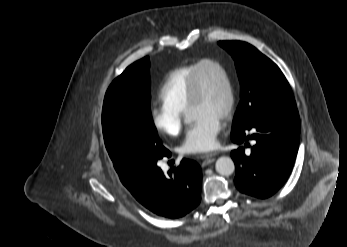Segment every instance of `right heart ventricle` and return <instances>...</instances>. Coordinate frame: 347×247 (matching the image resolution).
<instances>
[{
  "instance_id": "1",
  "label": "right heart ventricle",
  "mask_w": 347,
  "mask_h": 247,
  "mask_svg": "<svg viewBox=\"0 0 347 247\" xmlns=\"http://www.w3.org/2000/svg\"><path fill=\"white\" fill-rule=\"evenodd\" d=\"M197 63L175 68L165 77L159 91L162 104L180 112L187 110L189 86Z\"/></svg>"
}]
</instances>
